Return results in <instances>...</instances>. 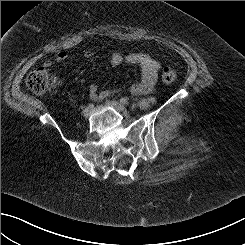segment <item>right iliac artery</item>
I'll return each instance as SVG.
<instances>
[{
  "label": "right iliac artery",
  "mask_w": 245,
  "mask_h": 245,
  "mask_svg": "<svg viewBox=\"0 0 245 245\" xmlns=\"http://www.w3.org/2000/svg\"><path fill=\"white\" fill-rule=\"evenodd\" d=\"M88 107L92 109L94 107V104L91 102L89 103Z\"/></svg>",
  "instance_id": "right-iliac-artery-1"
}]
</instances>
